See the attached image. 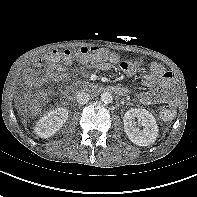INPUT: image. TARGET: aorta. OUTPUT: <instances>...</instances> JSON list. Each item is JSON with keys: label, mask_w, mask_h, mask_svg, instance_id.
<instances>
[{"label": "aorta", "mask_w": 197, "mask_h": 197, "mask_svg": "<svg viewBox=\"0 0 197 197\" xmlns=\"http://www.w3.org/2000/svg\"><path fill=\"white\" fill-rule=\"evenodd\" d=\"M100 99L104 104H109V103L112 102L113 97H112V94L110 92H104V93L101 94Z\"/></svg>", "instance_id": "obj_1"}]
</instances>
